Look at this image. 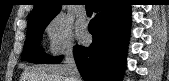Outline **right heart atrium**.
<instances>
[{"mask_svg": "<svg viewBox=\"0 0 169 81\" xmlns=\"http://www.w3.org/2000/svg\"><path fill=\"white\" fill-rule=\"evenodd\" d=\"M48 50L53 56L69 55L73 50L71 24L61 15L51 17L45 27Z\"/></svg>", "mask_w": 169, "mask_h": 81, "instance_id": "d8ad5b80", "label": "right heart atrium"}]
</instances>
